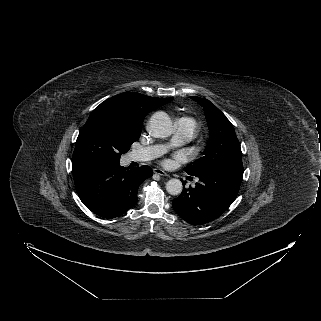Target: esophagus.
<instances>
[{"label":"esophagus","mask_w":321,"mask_h":321,"mask_svg":"<svg viewBox=\"0 0 321 321\" xmlns=\"http://www.w3.org/2000/svg\"><path fill=\"white\" fill-rule=\"evenodd\" d=\"M153 172H154L155 174H158V175H161V176H168V174H167L165 171H163L162 169H159V168H155V169L153 170Z\"/></svg>","instance_id":"1"}]
</instances>
